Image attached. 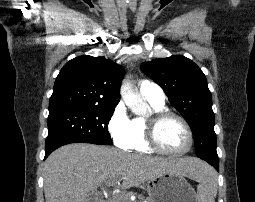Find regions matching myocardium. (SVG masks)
<instances>
[{
    "mask_svg": "<svg viewBox=\"0 0 255 202\" xmlns=\"http://www.w3.org/2000/svg\"><path fill=\"white\" fill-rule=\"evenodd\" d=\"M176 119L178 120L185 128L188 135V144L185 149L178 152H172L164 149L158 140V129L159 126L167 119ZM145 139L148 146L155 152L168 155V156H182L188 153L194 143V136L192 129L189 123L180 115L168 111V110H160L152 112L145 120Z\"/></svg>",
    "mask_w": 255,
    "mask_h": 202,
    "instance_id": "f54148a6",
    "label": "myocardium"
}]
</instances>
